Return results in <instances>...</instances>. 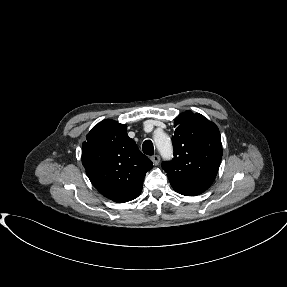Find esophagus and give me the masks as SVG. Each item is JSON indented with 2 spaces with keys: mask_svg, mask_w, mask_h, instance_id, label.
Returning <instances> with one entry per match:
<instances>
[{
  "mask_svg": "<svg viewBox=\"0 0 287 287\" xmlns=\"http://www.w3.org/2000/svg\"><path fill=\"white\" fill-rule=\"evenodd\" d=\"M151 161L153 162L154 165H158L160 162V156L159 155L151 156Z\"/></svg>",
  "mask_w": 287,
  "mask_h": 287,
  "instance_id": "obj_1",
  "label": "esophagus"
}]
</instances>
